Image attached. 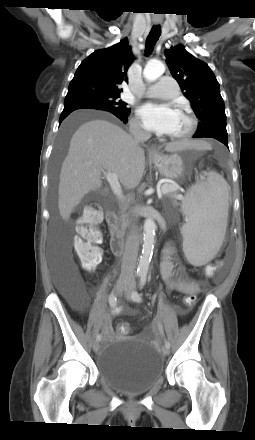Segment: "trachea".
<instances>
[{"label": "trachea", "mask_w": 255, "mask_h": 440, "mask_svg": "<svg viewBox=\"0 0 255 440\" xmlns=\"http://www.w3.org/2000/svg\"><path fill=\"white\" fill-rule=\"evenodd\" d=\"M161 35V28L159 25L153 26L146 41V54H150L153 51L154 45Z\"/></svg>", "instance_id": "obj_1"}]
</instances>
